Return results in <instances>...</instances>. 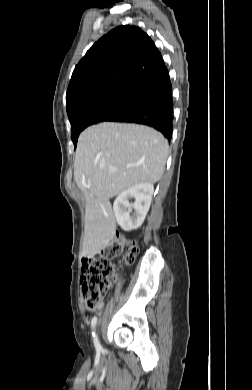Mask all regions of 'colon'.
Returning a JSON list of instances; mask_svg holds the SVG:
<instances>
[{"label": "colon", "instance_id": "5ec220e1", "mask_svg": "<svg viewBox=\"0 0 252 390\" xmlns=\"http://www.w3.org/2000/svg\"><path fill=\"white\" fill-rule=\"evenodd\" d=\"M127 248L125 262L130 264L138 253L136 242L123 236L115 237L98 257L86 259L82 267L81 287L85 306L94 310L109 290L114 277L112 260Z\"/></svg>", "mask_w": 252, "mask_h": 390}]
</instances>
